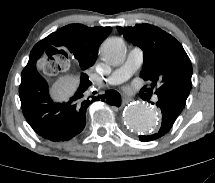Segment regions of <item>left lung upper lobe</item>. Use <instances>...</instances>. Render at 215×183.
Segmentation results:
<instances>
[{
  "mask_svg": "<svg viewBox=\"0 0 215 183\" xmlns=\"http://www.w3.org/2000/svg\"><path fill=\"white\" fill-rule=\"evenodd\" d=\"M117 30L144 53L142 78L151 87L142 88L148 93L157 88V96L173 100L183 109L191 90L192 65L182 45L170 34L150 24L118 27Z\"/></svg>",
  "mask_w": 215,
  "mask_h": 183,
  "instance_id": "left-lung-upper-lobe-1",
  "label": "left lung upper lobe"
}]
</instances>
